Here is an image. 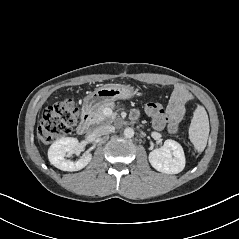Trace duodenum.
I'll use <instances>...</instances> for the list:
<instances>
[{
    "instance_id": "duodenum-1",
    "label": "duodenum",
    "mask_w": 239,
    "mask_h": 239,
    "mask_svg": "<svg viewBox=\"0 0 239 239\" xmlns=\"http://www.w3.org/2000/svg\"><path fill=\"white\" fill-rule=\"evenodd\" d=\"M90 125H91V112L86 111L84 112L81 122L77 127L78 134L79 135L84 134L89 129Z\"/></svg>"
}]
</instances>
